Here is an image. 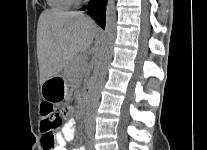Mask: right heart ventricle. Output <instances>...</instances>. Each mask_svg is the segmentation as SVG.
Wrapping results in <instances>:
<instances>
[{
    "label": "right heart ventricle",
    "mask_w": 207,
    "mask_h": 150,
    "mask_svg": "<svg viewBox=\"0 0 207 150\" xmlns=\"http://www.w3.org/2000/svg\"><path fill=\"white\" fill-rule=\"evenodd\" d=\"M47 2L53 10L62 11L70 9L76 4L77 0H47Z\"/></svg>",
    "instance_id": "obj_1"
}]
</instances>
